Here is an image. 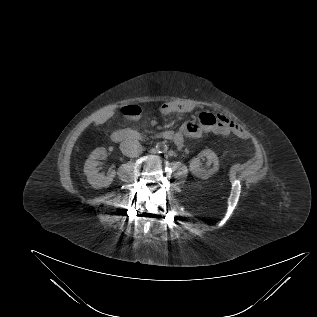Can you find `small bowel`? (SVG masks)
<instances>
[{"label":"small bowel","instance_id":"obj_1","mask_svg":"<svg viewBox=\"0 0 317 317\" xmlns=\"http://www.w3.org/2000/svg\"><path fill=\"white\" fill-rule=\"evenodd\" d=\"M194 106L184 100H172L166 101L161 105V112L165 115L172 113H186L193 111ZM219 121L216 125L209 126L205 125L202 122L196 123L188 121L175 135V143L179 146H183L185 137H200L204 132H213L217 134L226 135L231 132H236L240 136H244L245 133L242 130L241 126L238 125L235 121L230 119L224 114H219Z\"/></svg>","mask_w":317,"mask_h":317}]
</instances>
